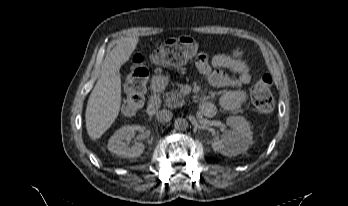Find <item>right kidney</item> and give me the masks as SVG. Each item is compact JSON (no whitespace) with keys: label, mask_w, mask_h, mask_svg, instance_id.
I'll list each match as a JSON object with an SVG mask.
<instances>
[{"label":"right kidney","mask_w":348,"mask_h":206,"mask_svg":"<svg viewBox=\"0 0 348 206\" xmlns=\"http://www.w3.org/2000/svg\"><path fill=\"white\" fill-rule=\"evenodd\" d=\"M142 131L138 125H126L118 129L108 141V150L117 156L124 158H137L145 149L142 142H136L133 146H129V141L135 135L136 131ZM125 140L127 142H125Z\"/></svg>","instance_id":"right-kidney-1"}]
</instances>
